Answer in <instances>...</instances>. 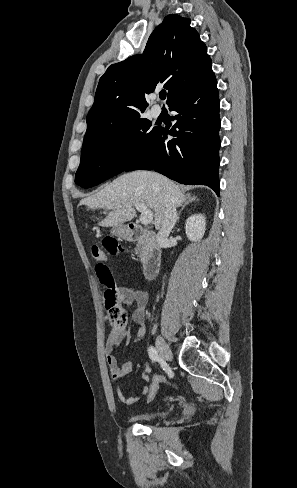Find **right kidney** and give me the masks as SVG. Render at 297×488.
<instances>
[{
	"mask_svg": "<svg viewBox=\"0 0 297 488\" xmlns=\"http://www.w3.org/2000/svg\"><path fill=\"white\" fill-rule=\"evenodd\" d=\"M205 229L206 220L201 214H194L186 220L185 231L190 241H200L204 236Z\"/></svg>",
	"mask_w": 297,
	"mask_h": 488,
	"instance_id": "1",
	"label": "right kidney"
}]
</instances>
